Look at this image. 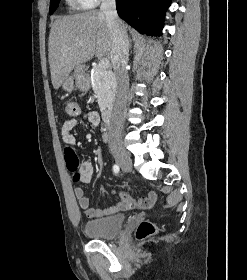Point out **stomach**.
Here are the masks:
<instances>
[{"label": "stomach", "instance_id": "obj_1", "mask_svg": "<svg viewBox=\"0 0 247 280\" xmlns=\"http://www.w3.org/2000/svg\"><path fill=\"white\" fill-rule=\"evenodd\" d=\"M62 86L68 92H71L75 87L82 91H87L90 85L84 71V66L79 65L75 67L74 73L64 81Z\"/></svg>", "mask_w": 247, "mask_h": 280}]
</instances>
